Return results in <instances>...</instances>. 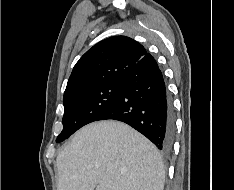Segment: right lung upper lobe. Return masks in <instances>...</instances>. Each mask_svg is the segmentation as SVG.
<instances>
[{
	"label": "right lung upper lobe",
	"instance_id": "1",
	"mask_svg": "<svg viewBox=\"0 0 234 190\" xmlns=\"http://www.w3.org/2000/svg\"><path fill=\"white\" fill-rule=\"evenodd\" d=\"M146 54L147 51L140 43L126 36H114L100 41L74 66L64 99L77 92L121 80Z\"/></svg>",
	"mask_w": 234,
	"mask_h": 190
}]
</instances>
